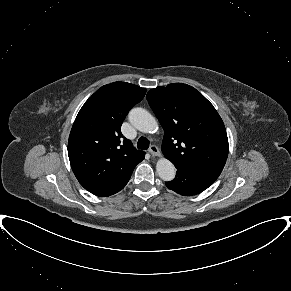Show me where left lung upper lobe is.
Returning <instances> with one entry per match:
<instances>
[{"label": "left lung upper lobe", "mask_w": 291, "mask_h": 291, "mask_svg": "<svg viewBox=\"0 0 291 291\" xmlns=\"http://www.w3.org/2000/svg\"><path fill=\"white\" fill-rule=\"evenodd\" d=\"M164 138L162 152L174 165L222 172L228 156L224 123L195 88L173 83L147 93Z\"/></svg>", "instance_id": "obj_1"}]
</instances>
